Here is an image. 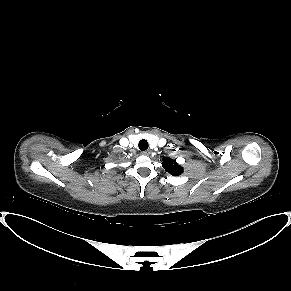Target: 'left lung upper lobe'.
I'll use <instances>...</instances> for the list:
<instances>
[{"mask_svg": "<svg viewBox=\"0 0 291 291\" xmlns=\"http://www.w3.org/2000/svg\"><path fill=\"white\" fill-rule=\"evenodd\" d=\"M162 166L165 171L174 176H178L183 172V168H181L175 160L168 157L163 158Z\"/></svg>", "mask_w": 291, "mask_h": 291, "instance_id": "1", "label": "left lung upper lobe"}]
</instances>
